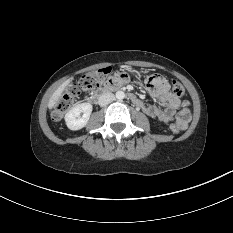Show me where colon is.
I'll use <instances>...</instances> for the list:
<instances>
[{"label": "colon", "mask_w": 233, "mask_h": 233, "mask_svg": "<svg viewBox=\"0 0 233 233\" xmlns=\"http://www.w3.org/2000/svg\"><path fill=\"white\" fill-rule=\"evenodd\" d=\"M115 85L113 82V74L111 68H102L96 71H91L83 76L76 82L72 83L66 92L57 101L52 117L59 120L76 102L81 92H91L98 90L101 86ZM171 90L173 95L181 97L185 93V89L181 83L176 80L171 81ZM170 129L174 133H178L180 128L177 124H171Z\"/></svg>", "instance_id": "1"}]
</instances>
